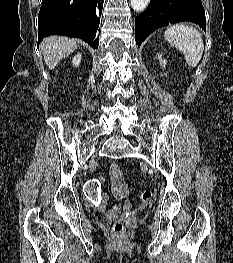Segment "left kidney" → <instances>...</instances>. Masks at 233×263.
Segmentation results:
<instances>
[{"label":"left kidney","mask_w":233,"mask_h":263,"mask_svg":"<svg viewBox=\"0 0 233 263\" xmlns=\"http://www.w3.org/2000/svg\"><path fill=\"white\" fill-rule=\"evenodd\" d=\"M161 56H162V55H159V54H158V59H159V61H160V65H161L163 68H165V66H166V60H162V59H161Z\"/></svg>","instance_id":"left-kidney-1"}]
</instances>
